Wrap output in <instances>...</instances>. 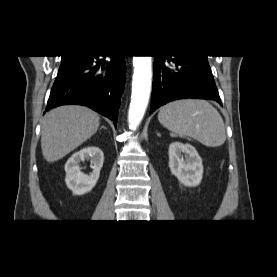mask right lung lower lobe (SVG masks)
Returning a JSON list of instances; mask_svg holds the SVG:
<instances>
[{
	"instance_id": "obj_1",
	"label": "right lung lower lobe",
	"mask_w": 277,
	"mask_h": 277,
	"mask_svg": "<svg viewBox=\"0 0 277 277\" xmlns=\"http://www.w3.org/2000/svg\"><path fill=\"white\" fill-rule=\"evenodd\" d=\"M83 56L58 74L52 87L46 111L65 105L87 106L111 119L116 126L120 97L125 83L124 56Z\"/></svg>"
}]
</instances>
